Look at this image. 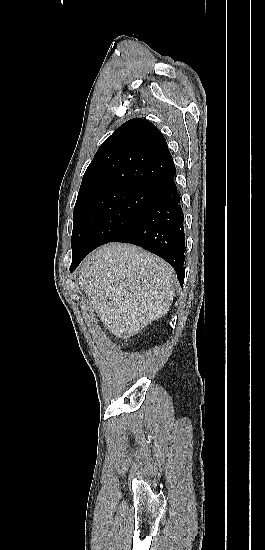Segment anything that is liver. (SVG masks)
<instances>
[{
  "instance_id": "6515ba94",
  "label": "liver",
  "mask_w": 265,
  "mask_h": 550,
  "mask_svg": "<svg viewBox=\"0 0 265 550\" xmlns=\"http://www.w3.org/2000/svg\"><path fill=\"white\" fill-rule=\"evenodd\" d=\"M79 285L110 333L128 339L167 313L178 284L174 269L160 257L110 243L82 263Z\"/></svg>"
}]
</instances>
